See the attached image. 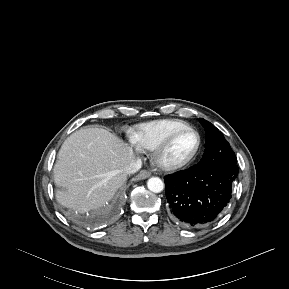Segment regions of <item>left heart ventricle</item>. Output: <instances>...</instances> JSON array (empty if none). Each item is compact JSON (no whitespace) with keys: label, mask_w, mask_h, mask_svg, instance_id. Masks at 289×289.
Instances as JSON below:
<instances>
[{"label":"left heart ventricle","mask_w":289,"mask_h":289,"mask_svg":"<svg viewBox=\"0 0 289 289\" xmlns=\"http://www.w3.org/2000/svg\"><path fill=\"white\" fill-rule=\"evenodd\" d=\"M197 145V136L194 133H184L172 143L166 153V159L181 160L189 156Z\"/></svg>","instance_id":"1"}]
</instances>
